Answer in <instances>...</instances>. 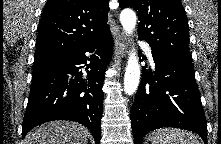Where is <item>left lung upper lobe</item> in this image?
Instances as JSON below:
<instances>
[{
  "mask_svg": "<svg viewBox=\"0 0 221 144\" xmlns=\"http://www.w3.org/2000/svg\"><path fill=\"white\" fill-rule=\"evenodd\" d=\"M121 8L138 12V34L152 50L192 61L189 26L180 0H119Z\"/></svg>",
  "mask_w": 221,
  "mask_h": 144,
  "instance_id": "1",
  "label": "left lung upper lobe"
}]
</instances>
